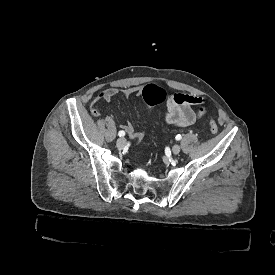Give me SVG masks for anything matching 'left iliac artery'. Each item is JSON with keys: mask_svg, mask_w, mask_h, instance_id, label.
Here are the masks:
<instances>
[{"mask_svg": "<svg viewBox=\"0 0 275 275\" xmlns=\"http://www.w3.org/2000/svg\"><path fill=\"white\" fill-rule=\"evenodd\" d=\"M176 140H181L182 139V136L180 134L176 135L175 137Z\"/></svg>", "mask_w": 275, "mask_h": 275, "instance_id": "1", "label": "left iliac artery"}]
</instances>
